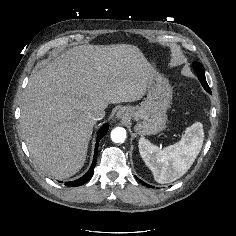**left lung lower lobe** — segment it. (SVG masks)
I'll list each match as a JSON object with an SVG mask.
<instances>
[{
    "label": "left lung lower lobe",
    "mask_w": 236,
    "mask_h": 236,
    "mask_svg": "<svg viewBox=\"0 0 236 236\" xmlns=\"http://www.w3.org/2000/svg\"><path fill=\"white\" fill-rule=\"evenodd\" d=\"M136 179H137L139 182H141L142 184H144L145 186H148V187H152V188H153V186H150V185H148V184L144 183V182H143V181H141L139 178H137V177H136Z\"/></svg>",
    "instance_id": "left-lung-lower-lobe-1"
}]
</instances>
